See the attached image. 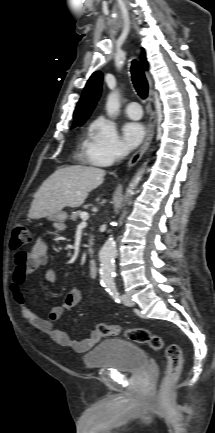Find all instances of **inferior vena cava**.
Segmentation results:
<instances>
[{"mask_svg":"<svg viewBox=\"0 0 215 433\" xmlns=\"http://www.w3.org/2000/svg\"><path fill=\"white\" fill-rule=\"evenodd\" d=\"M123 155H124V151L120 150V151H118V153H117V158L120 159V158L123 157Z\"/></svg>","mask_w":215,"mask_h":433,"instance_id":"obj_1","label":"inferior vena cava"}]
</instances>
